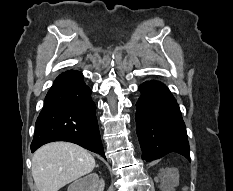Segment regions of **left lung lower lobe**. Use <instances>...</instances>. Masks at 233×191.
Returning <instances> with one entry per match:
<instances>
[{
  "instance_id": "obj_1",
  "label": "left lung lower lobe",
  "mask_w": 233,
  "mask_h": 191,
  "mask_svg": "<svg viewBox=\"0 0 233 191\" xmlns=\"http://www.w3.org/2000/svg\"><path fill=\"white\" fill-rule=\"evenodd\" d=\"M136 132L142 159L152 161L167 154L190 160L185 124L175 98L161 82L151 80L139 86Z\"/></svg>"
}]
</instances>
